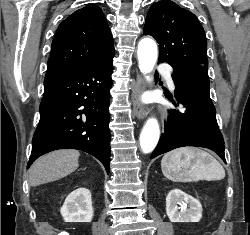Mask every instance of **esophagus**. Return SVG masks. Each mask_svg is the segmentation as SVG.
Listing matches in <instances>:
<instances>
[{"instance_id": "34e87169", "label": "esophagus", "mask_w": 250, "mask_h": 235, "mask_svg": "<svg viewBox=\"0 0 250 235\" xmlns=\"http://www.w3.org/2000/svg\"><path fill=\"white\" fill-rule=\"evenodd\" d=\"M144 80L140 74H137L136 82L132 89L133 114L140 120L146 117V109L141 102V95L144 91Z\"/></svg>"}]
</instances>
